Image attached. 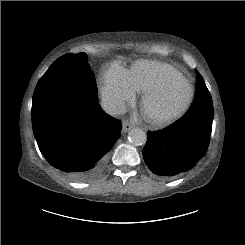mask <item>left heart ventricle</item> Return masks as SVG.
Listing matches in <instances>:
<instances>
[{
    "mask_svg": "<svg viewBox=\"0 0 245 245\" xmlns=\"http://www.w3.org/2000/svg\"><path fill=\"white\" fill-rule=\"evenodd\" d=\"M189 93L187 82L183 78L174 81L156 98L147 105V113H169L179 108Z\"/></svg>",
    "mask_w": 245,
    "mask_h": 245,
    "instance_id": "b2bd125f",
    "label": "left heart ventricle"
}]
</instances>
